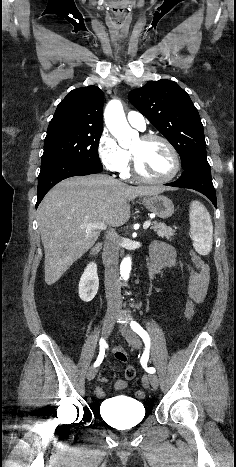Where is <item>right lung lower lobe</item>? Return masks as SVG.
<instances>
[{"label":"right lung lower lobe","instance_id":"1","mask_svg":"<svg viewBox=\"0 0 236 467\" xmlns=\"http://www.w3.org/2000/svg\"><path fill=\"white\" fill-rule=\"evenodd\" d=\"M103 168L95 167L75 159H57L41 165L38 176V190L36 208L45 194L58 182L72 176L99 173Z\"/></svg>","mask_w":236,"mask_h":467}]
</instances>
